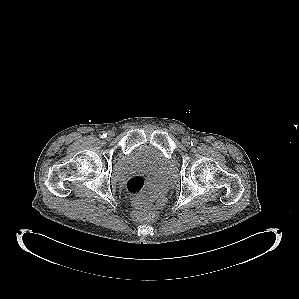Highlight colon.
Listing matches in <instances>:
<instances>
[{
	"mask_svg": "<svg viewBox=\"0 0 299 299\" xmlns=\"http://www.w3.org/2000/svg\"><path fill=\"white\" fill-rule=\"evenodd\" d=\"M150 187V180L143 174H135L127 181V190L132 195L136 215L140 218H150L155 211L148 195Z\"/></svg>",
	"mask_w": 299,
	"mask_h": 299,
	"instance_id": "obj_1",
	"label": "colon"
}]
</instances>
